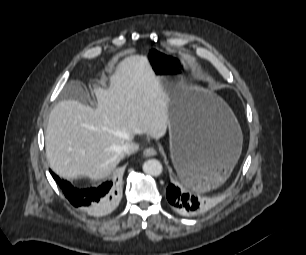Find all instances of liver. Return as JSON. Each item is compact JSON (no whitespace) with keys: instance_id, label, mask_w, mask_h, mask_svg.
Returning <instances> with one entry per match:
<instances>
[{"instance_id":"6515ba94","label":"liver","mask_w":306,"mask_h":255,"mask_svg":"<svg viewBox=\"0 0 306 255\" xmlns=\"http://www.w3.org/2000/svg\"><path fill=\"white\" fill-rule=\"evenodd\" d=\"M96 108L79 100L58 102L45 133L50 168L64 178L107 177L134 135L159 139L169 127L168 98L147 57L124 58L110 87L94 88Z\"/></svg>"}]
</instances>
